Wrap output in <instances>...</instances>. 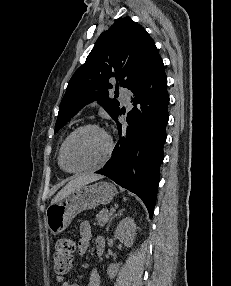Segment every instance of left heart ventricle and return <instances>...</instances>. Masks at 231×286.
I'll return each instance as SVG.
<instances>
[{
    "mask_svg": "<svg viewBox=\"0 0 231 286\" xmlns=\"http://www.w3.org/2000/svg\"><path fill=\"white\" fill-rule=\"evenodd\" d=\"M107 141L102 133L85 129L74 135L64 153V165L75 170L99 160L106 152Z\"/></svg>",
    "mask_w": 231,
    "mask_h": 286,
    "instance_id": "left-heart-ventricle-1",
    "label": "left heart ventricle"
}]
</instances>
